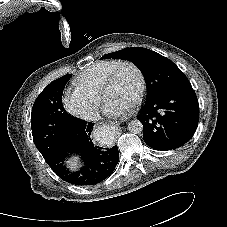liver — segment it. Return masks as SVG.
<instances>
[{"label": "liver", "instance_id": "6515ba94", "mask_svg": "<svg viewBox=\"0 0 227 227\" xmlns=\"http://www.w3.org/2000/svg\"><path fill=\"white\" fill-rule=\"evenodd\" d=\"M67 163L72 170L77 168V158L69 160Z\"/></svg>", "mask_w": 227, "mask_h": 227}]
</instances>
